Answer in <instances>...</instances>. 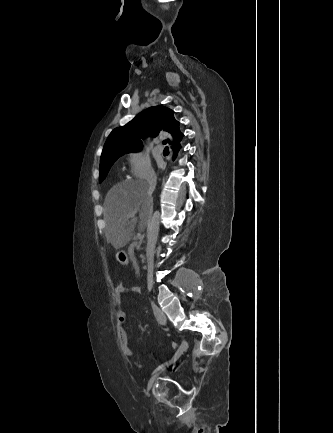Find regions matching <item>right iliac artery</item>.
<instances>
[{"label":"right iliac artery","instance_id":"1","mask_svg":"<svg viewBox=\"0 0 333 433\" xmlns=\"http://www.w3.org/2000/svg\"><path fill=\"white\" fill-rule=\"evenodd\" d=\"M172 346H173L174 349H176L177 344H176L175 342H172ZM173 358H174V357H173ZM173 358L170 359L169 361H166L165 363L161 364L160 366H158V367L153 371L152 374H154V373L157 372L158 370L163 369V368L165 367V365H169V363H171V361L173 360ZM149 390H150V389L147 388V392H148Z\"/></svg>","mask_w":333,"mask_h":433}]
</instances>
